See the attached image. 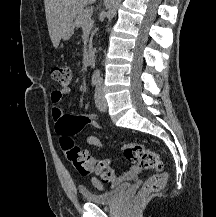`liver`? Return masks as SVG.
<instances>
[{
	"mask_svg": "<svg viewBox=\"0 0 216 217\" xmlns=\"http://www.w3.org/2000/svg\"><path fill=\"white\" fill-rule=\"evenodd\" d=\"M96 0H44L46 21L53 46L58 48L66 29L76 15Z\"/></svg>",
	"mask_w": 216,
	"mask_h": 217,
	"instance_id": "1",
	"label": "liver"
}]
</instances>
